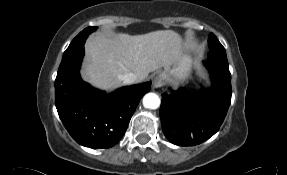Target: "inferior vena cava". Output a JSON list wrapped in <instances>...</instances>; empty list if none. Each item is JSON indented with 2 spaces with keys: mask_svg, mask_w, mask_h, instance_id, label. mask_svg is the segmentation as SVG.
Instances as JSON below:
<instances>
[{
  "mask_svg": "<svg viewBox=\"0 0 287 175\" xmlns=\"http://www.w3.org/2000/svg\"><path fill=\"white\" fill-rule=\"evenodd\" d=\"M122 80L125 84H133L137 81V76L134 73H127L122 76Z\"/></svg>",
  "mask_w": 287,
  "mask_h": 175,
  "instance_id": "obj_1",
  "label": "inferior vena cava"
}]
</instances>
